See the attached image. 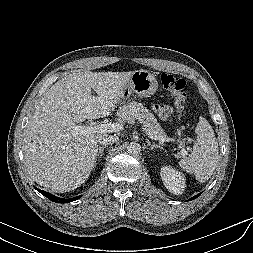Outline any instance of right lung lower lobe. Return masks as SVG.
<instances>
[{
    "instance_id": "98d812e1",
    "label": "right lung lower lobe",
    "mask_w": 253,
    "mask_h": 253,
    "mask_svg": "<svg viewBox=\"0 0 253 253\" xmlns=\"http://www.w3.org/2000/svg\"><path fill=\"white\" fill-rule=\"evenodd\" d=\"M36 190L39 191L42 195L46 196L51 201L56 202V203H68V202L77 200L81 197V196H77V197H74V198L63 199V198L56 197V196H54V195H52L48 192H45L43 190H40V189H37V188H36Z\"/></svg>"
}]
</instances>
